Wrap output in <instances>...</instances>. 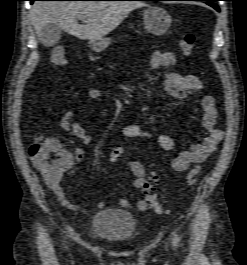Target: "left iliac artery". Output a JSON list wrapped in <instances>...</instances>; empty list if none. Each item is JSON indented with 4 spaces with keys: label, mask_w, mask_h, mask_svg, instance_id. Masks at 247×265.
I'll return each mask as SVG.
<instances>
[{
    "label": "left iliac artery",
    "mask_w": 247,
    "mask_h": 265,
    "mask_svg": "<svg viewBox=\"0 0 247 265\" xmlns=\"http://www.w3.org/2000/svg\"><path fill=\"white\" fill-rule=\"evenodd\" d=\"M178 243H179L178 235L176 233H174L173 245L174 246H177Z\"/></svg>",
    "instance_id": "1"
}]
</instances>
